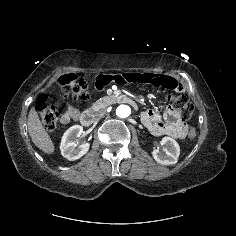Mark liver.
I'll return each instance as SVG.
<instances>
[{
	"instance_id": "6515ba94",
	"label": "liver",
	"mask_w": 236,
	"mask_h": 236,
	"mask_svg": "<svg viewBox=\"0 0 236 236\" xmlns=\"http://www.w3.org/2000/svg\"><path fill=\"white\" fill-rule=\"evenodd\" d=\"M27 125L32 142L43 152L52 154L55 150L54 144L42 125L35 108H31L29 112Z\"/></svg>"
}]
</instances>
